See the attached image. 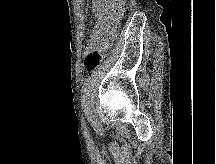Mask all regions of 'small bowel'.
I'll return each instance as SVG.
<instances>
[{"label":"small bowel","instance_id":"c3829d8e","mask_svg":"<svg viewBox=\"0 0 216 164\" xmlns=\"http://www.w3.org/2000/svg\"><path fill=\"white\" fill-rule=\"evenodd\" d=\"M123 0H92L94 26L86 44L87 51L103 50L114 35L115 24L123 9Z\"/></svg>","mask_w":216,"mask_h":164}]
</instances>
